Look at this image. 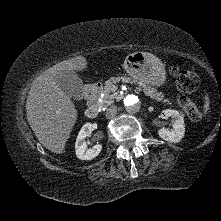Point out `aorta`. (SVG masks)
<instances>
[{
    "label": "aorta",
    "instance_id": "aorta-1",
    "mask_svg": "<svg viewBox=\"0 0 221 221\" xmlns=\"http://www.w3.org/2000/svg\"><path fill=\"white\" fill-rule=\"evenodd\" d=\"M124 105L130 110H137L140 106V101L138 96L134 94L127 95L124 98Z\"/></svg>",
    "mask_w": 221,
    "mask_h": 221
}]
</instances>
